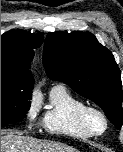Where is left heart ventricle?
Listing matches in <instances>:
<instances>
[{"label":"left heart ventricle","instance_id":"b2bd125f","mask_svg":"<svg viewBox=\"0 0 123 152\" xmlns=\"http://www.w3.org/2000/svg\"><path fill=\"white\" fill-rule=\"evenodd\" d=\"M90 124L95 131H101L104 127L103 120L98 115H91Z\"/></svg>","mask_w":123,"mask_h":152}]
</instances>
